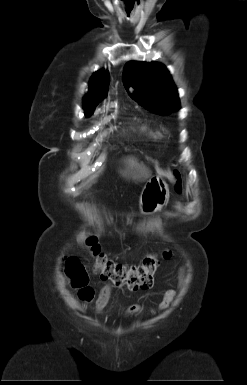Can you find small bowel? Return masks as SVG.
Segmentation results:
<instances>
[{
  "label": "small bowel",
  "instance_id": "1",
  "mask_svg": "<svg viewBox=\"0 0 247 385\" xmlns=\"http://www.w3.org/2000/svg\"><path fill=\"white\" fill-rule=\"evenodd\" d=\"M184 279H185L184 270L180 269V271H179V285L180 286L183 285ZM112 290H113V286L111 284H106L101 288L99 295L97 297V300L95 302V311L98 314H103L104 309L107 306V304L111 298ZM176 294H177V291L173 290V289L165 291L163 298H162V301L159 304V309L160 310H166L167 308H169L173 304L175 297H176ZM140 312H141V306L138 304H132V305L128 306L125 310L126 315H135V314H138Z\"/></svg>",
  "mask_w": 247,
  "mask_h": 385
}]
</instances>
